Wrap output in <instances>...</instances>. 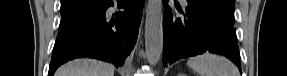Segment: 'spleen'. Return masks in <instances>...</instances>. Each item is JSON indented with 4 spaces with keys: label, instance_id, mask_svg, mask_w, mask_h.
<instances>
[{
    "label": "spleen",
    "instance_id": "spleen-1",
    "mask_svg": "<svg viewBox=\"0 0 287 76\" xmlns=\"http://www.w3.org/2000/svg\"><path fill=\"white\" fill-rule=\"evenodd\" d=\"M187 65L200 76H238L237 67L228 59L213 54L192 57Z\"/></svg>",
    "mask_w": 287,
    "mask_h": 76
}]
</instances>
